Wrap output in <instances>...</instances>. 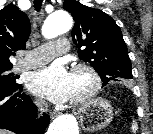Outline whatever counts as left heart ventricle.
<instances>
[{
	"label": "left heart ventricle",
	"mask_w": 153,
	"mask_h": 134,
	"mask_svg": "<svg viewBox=\"0 0 153 134\" xmlns=\"http://www.w3.org/2000/svg\"><path fill=\"white\" fill-rule=\"evenodd\" d=\"M72 93L70 99L79 97L90 87V78L85 72L71 73Z\"/></svg>",
	"instance_id": "b2bd125f"
}]
</instances>
